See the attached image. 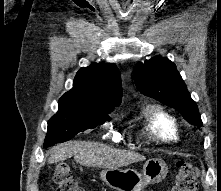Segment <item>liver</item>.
I'll return each mask as SVG.
<instances>
[{
    "label": "liver",
    "mask_w": 221,
    "mask_h": 191,
    "mask_svg": "<svg viewBox=\"0 0 221 191\" xmlns=\"http://www.w3.org/2000/svg\"><path fill=\"white\" fill-rule=\"evenodd\" d=\"M72 156L83 166L105 169H116L145 160V157L139 153L113 149L88 141H69L51 149L48 162L57 163Z\"/></svg>",
    "instance_id": "6515ba94"
}]
</instances>
